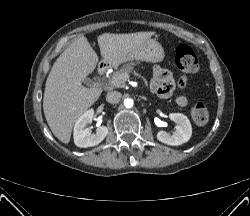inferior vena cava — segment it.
Returning <instances> with one entry per match:
<instances>
[{
  "instance_id": "obj_1",
  "label": "inferior vena cava",
  "mask_w": 250,
  "mask_h": 216,
  "mask_svg": "<svg viewBox=\"0 0 250 216\" xmlns=\"http://www.w3.org/2000/svg\"><path fill=\"white\" fill-rule=\"evenodd\" d=\"M122 94L118 91H110L106 95L107 102L111 104H116L120 101Z\"/></svg>"
}]
</instances>
